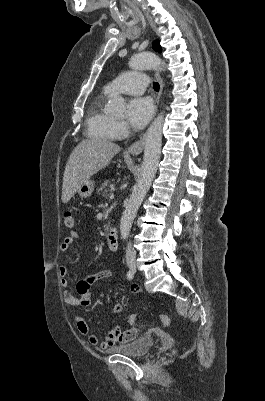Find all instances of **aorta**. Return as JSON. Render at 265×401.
<instances>
[{"instance_id": "1", "label": "aorta", "mask_w": 265, "mask_h": 401, "mask_svg": "<svg viewBox=\"0 0 265 401\" xmlns=\"http://www.w3.org/2000/svg\"><path fill=\"white\" fill-rule=\"evenodd\" d=\"M131 68H156V70H165V62L154 52H141L137 56H133L129 62ZM115 112L122 110L125 106L124 98L117 96L112 102ZM164 114L160 112L157 118H154L150 124L145 140L143 164L141 166L139 178L132 188V194L129 203L122 213L120 221L121 239H127L131 231L132 223L136 217V213L146 196L147 190L156 174L157 166L161 156L162 132H163Z\"/></svg>"}]
</instances>
